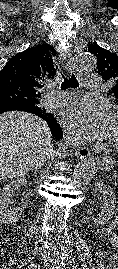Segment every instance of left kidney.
<instances>
[{
  "instance_id": "obj_1",
  "label": "left kidney",
  "mask_w": 118,
  "mask_h": 269,
  "mask_svg": "<svg viewBox=\"0 0 118 269\" xmlns=\"http://www.w3.org/2000/svg\"><path fill=\"white\" fill-rule=\"evenodd\" d=\"M94 192H100L102 194L101 200V212L93 219L95 225L103 226L113 218V214L116 209V197L112 191L111 186L97 182L94 186Z\"/></svg>"
}]
</instances>
